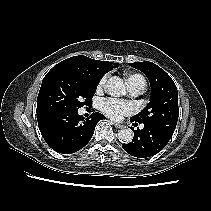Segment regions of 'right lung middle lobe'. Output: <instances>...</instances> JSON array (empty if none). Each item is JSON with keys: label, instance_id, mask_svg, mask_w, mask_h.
<instances>
[{"label": "right lung middle lobe", "instance_id": "dd1d6c3e", "mask_svg": "<svg viewBox=\"0 0 211 211\" xmlns=\"http://www.w3.org/2000/svg\"><path fill=\"white\" fill-rule=\"evenodd\" d=\"M98 82L82 75L60 69H51L42 81L37 98V112L53 109L78 110L90 104Z\"/></svg>", "mask_w": 211, "mask_h": 211}]
</instances>
